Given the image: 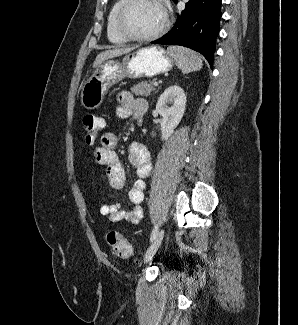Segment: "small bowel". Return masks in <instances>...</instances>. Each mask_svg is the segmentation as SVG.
I'll use <instances>...</instances> for the list:
<instances>
[{"label": "small bowel", "instance_id": "1", "mask_svg": "<svg viewBox=\"0 0 298 325\" xmlns=\"http://www.w3.org/2000/svg\"><path fill=\"white\" fill-rule=\"evenodd\" d=\"M118 102L117 114L121 118H127L134 112L138 103H146L142 99H135L127 91L118 94ZM117 145L118 137L114 133H104L101 136L100 146L94 151V158L99 167L105 168L110 186L114 189H121L125 183V172L115 151ZM128 161L137 176L128 191L131 208L123 210L119 203L103 204L99 212L102 216L109 217L112 222L125 221L137 224L143 216L141 204L144 199L145 181L151 173L152 165L148 150L139 143H132L129 146Z\"/></svg>", "mask_w": 298, "mask_h": 325}]
</instances>
